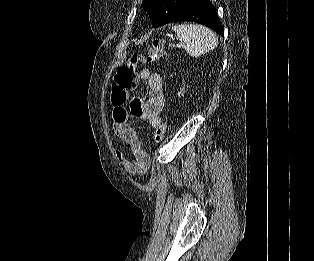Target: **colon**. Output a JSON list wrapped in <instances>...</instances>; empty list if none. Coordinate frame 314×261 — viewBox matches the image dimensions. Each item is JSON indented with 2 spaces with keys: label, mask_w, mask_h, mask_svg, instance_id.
<instances>
[{
  "label": "colon",
  "mask_w": 314,
  "mask_h": 261,
  "mask_svg": "<svg viewBox=\"0 0 314 261\" xmlns=\"http://www.w3.org/2000/svg\"><path fill=\"white\" fill-rule=\"evenodd\" d=\"M163 41L154 40L144 54L133 53L128 62L120 66L114 76V82L111 88V103L124 104L130 91L136 84V67L141 63L153 64L161 59L163 55ZM166 131V123L161 122L154 132V139L160 142Z\"/></svg>",
  "instance_id": "colon-1"
}]
</instances>
